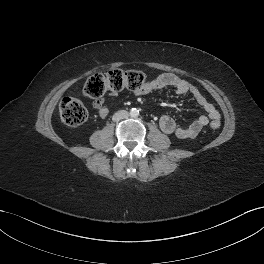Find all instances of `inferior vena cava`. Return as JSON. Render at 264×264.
Listing matches in <instances>:
<instances>
[{"instance_id": "inferior-vena-cava-1", "label": "inferior vena cava", "mask_w": 264, "mask_h": 264, "mask_svg": "<svg viewBox=\"0 0 264 264\" xmlns=\"http://www.w3.org/2000/svg\"><path fill=\"white\" fill-rule=\"evenodd\" d=\"M129 116L128 112L125 111V110H120L118 112H116L113 117H112V120L117 122V121H120L122 119H125Z\"/></svg>"}]
</instances>
